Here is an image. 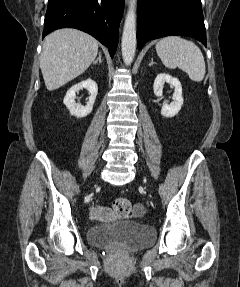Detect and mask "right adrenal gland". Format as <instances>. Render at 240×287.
Segmentation results:
<instances>
[{
  "label": "right adrenal gland",
  "instance_id": "1",
  "mask_svg": "<svg viewBox=\"0 0 240 287\" xmlns=\"http://www.w3.org/2000/svg\"><path fill=\"white\" fill-rule=\"evenodd\" d=\"M102 63V60H101V52H99V56L98 58L94 61V64H97V63Z\"/></svg>",
  "mask_w": 240,
  "mask_h": 287
}]
</instances>
